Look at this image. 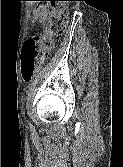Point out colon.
<instances>
[{
    "label": "colon",
    "instance_id": "5ec220e1",
    "mask_svg": "<svg viewBox=\"0 0 123 167\" xmlns=\"http://www.w3.org/2000/svg\"><path fill=\"white\" fill-rule=\"evenodd\" d=\"M67 10L58 7L43 6L37 10V16L45 26L46 36H30L24 42L22 49V78L28 82L32 79L37 66L49 56V50L53 46L52 37L64 32L67 23Z\"/></svg>",
    "mask_w": 123,
    "mask_h": 167
}]
</instances>
